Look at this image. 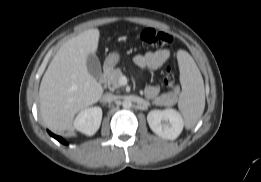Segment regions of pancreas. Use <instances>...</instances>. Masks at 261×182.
<instances>
[{"label": "pancreas", "mask_w": 261, "mask_h": 182, "mask_svg": "<svg viewBox=\"0 0 261 182\" xmlns=\"http://www.w3.org/2000/svg\"><path fill=\"white\" fill-rule=\"evenodd\" d=\"M122 76H123V74H122V71L120 68L111 70L106 76L108 86L111 87L113 90L120 88L122 85L120 84L119 80ZM167 101L169 103H170V101L173 103L176 101V97L174 95L164 94L161 97L157 98L154 102L156 104H163Z\"/></svg>", "instance_id": "1"}]
</instances>
